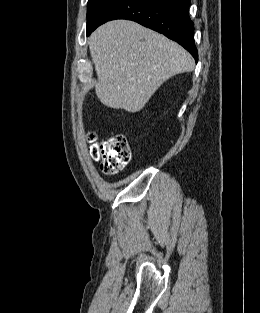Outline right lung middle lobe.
Instances as JSON below:
<instances>
[{
    "label": "right lung middle lobe",
    "mask_w": 260,
    "mask_h": 313,
    "mask_svg": "<svg viewBox=\"0 0 260 313\" xmlns=\"http://www.w3.org/2000/svg\"><path fill=\"white\" fill-rule=\"evenodd\" d=\"M117 0H89L87 6V33Z\"/></svg>",
    "instance_id": "dd1d6c3e"
}]
</instances>
